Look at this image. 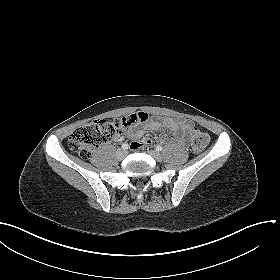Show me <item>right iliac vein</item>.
Instances as JSON below:
<instances>
[{
	"label": "right iliac vein",
	"instance_id": "right-iliac-vein-1",
	"mask_svg": "<svg viewBox=\"0 0 280 280\" xmlns=\"http://www.w3.org/2000/svg\"><path fill=\"white\" fill-rule=\"evenodd\" d=\"M126 155H127V151H125V150H118L117 151V158L119 160L124 159L126 157Z\"/></svg>",
	"mask_w": 280,
	"mask_h": 280
}]
</instances>
